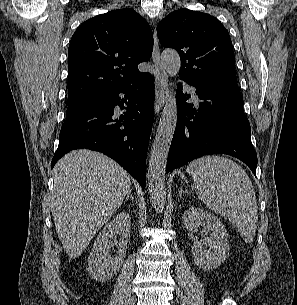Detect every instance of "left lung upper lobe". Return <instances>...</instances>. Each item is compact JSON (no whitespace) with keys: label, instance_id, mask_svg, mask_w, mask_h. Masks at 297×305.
<instances>
[{"label":"left lung upper lobe","instance_id":"5c2ea615","mask_svg":"<svg viewBox=\"0 0 297 305\" xmlns=\"http://www.w3.org/2000/svg\"><path fill=\"white\" fill-rule=\"evenodd\" d=\"M157 35L164 47L178 51L181 78L196 85L236 80L231 38L217 18L179 9L158 24Z\"/></svg>","mask_w":297,"mask_h":305}]
</instances>
